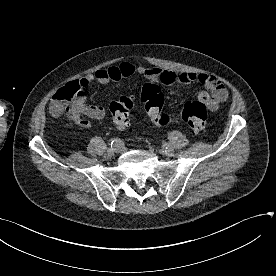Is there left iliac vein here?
Masks as SVG:
<instances>
[{
	"mask_svg": "<svg viewBox=\"0 0 276 276\" xmlns=\"http://www.w3.org/2000/svg\"><path fill=\"white\" fill-rule=\"evenodd\" d=\"M162 152L165 154V155H167V156H169V157H172V156H174V149L172 148V149H169V150H162Z\"/></svg>",
	"mask_w": 276,
	"mask_h": 276,
	"instance_id": "obj_1",
	"label": "left iliac vein"
}]
</instances>
